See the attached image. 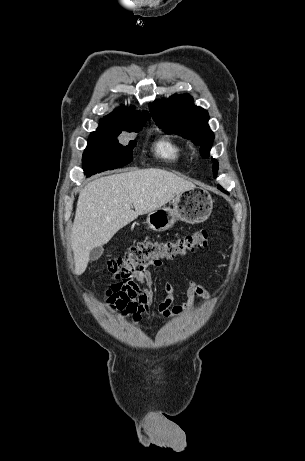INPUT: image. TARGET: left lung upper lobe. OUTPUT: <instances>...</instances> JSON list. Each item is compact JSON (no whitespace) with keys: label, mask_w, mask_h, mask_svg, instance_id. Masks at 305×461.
<instances>
[{"label":"left lung upper lobe","mask_w":305,"mask_h":461,"mask_svg":"<svg viewBox=\"0 0 305 461\" xmlns=\"http://www.w3.org/2000/svg\"><path fill=\"white\" fill-rule=\"evenodd\" d=\"M149 110L156 124L166 133L181 134L200 146L201 155L209 157L214 134L208 126V112L193 104L189 94L173 95L169 99L155 101L149 105ZM213 176L216 177L218 163L212 159ZM225 193V190L218 186Z\"/></svg>","instance_id":"5c2ea615"}]
</instances>
